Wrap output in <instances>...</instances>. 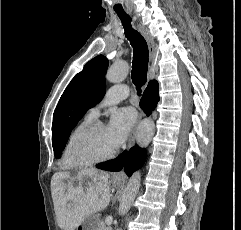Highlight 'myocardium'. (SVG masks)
<instances>
[{
	"label": "myocardium",
	"instance_id": "1",
	"mask_svg": "<svg viewBox=\"0 0 241 230\" xmlns=\"http://www.w3.org/2000/svg\"><path fill=\"white\" fill-rule=\"evenodd\" d=\"M101 126H104L102 122L92 121L76 137L73 143L72 154L76 162L80 165L87 166L101 163L112 159L116 155V150L102 156H93L89 153L88 146L90 139Z\"/></svg>",
	"mask_w": 241,
	"mask_h": 230
}]
</instances>
